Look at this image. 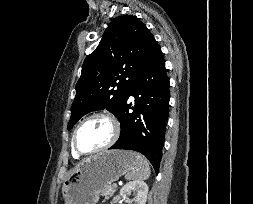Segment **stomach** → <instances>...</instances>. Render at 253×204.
Listing matches in <instances>:
<instances>
[{
    "label": "stomach",
    "instance_id": "0dacf381",
    "mask_svg": "<svg viewBox=\"0 0 253 204\" xmlns=\"http://www.w3.org/2000/svg\"><path fill=\"white\" fill-rule=\"evenodd\" d=\"M135 166L130 151H104L83 160L63 183L65 204H97L100 193Z\"/></svg>",
    "mask_w": 253,
    "mask_h": 204
}]
</instances>
